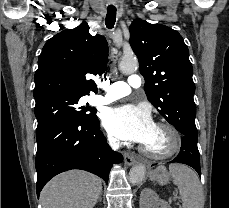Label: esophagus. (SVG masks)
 Returning <instances> with one entry per match:
<instances>
[{
    "instance_id": "34e87169",
    "label": "esophagus",
    "mask_w": 229,
    "mask_h": 208,
    "mask_svg": "<svg viewBox=\"0 0 229 208\" xmlns=\"http://www.w3.org/2000/svg\"><path fill=\"white\" fill-rule=\"evenodd\" d=\"M124 160H125L126 165L132 166V165H134V164L136 163L137 158L134 157V156H132V155H130V154H127V153H126V154L124 155Z\"/></svg>"
}]
</instances>
